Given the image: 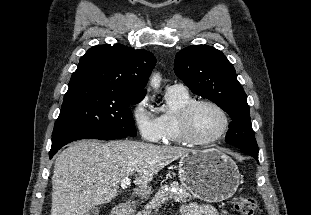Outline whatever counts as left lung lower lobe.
Returning <instances> with one entry per match:
<instances>
[{"instance_id":"left-lung-lower-lobe-1","label":"left lung lower lobe","mask_w":311,"mask_h":215,"mask_svg":"<svg viewBox=\"0 0 311 215\" xmlns=\"http://www.w3.org/2000/svg\"><path fill=\"white\" fill-rule=\"evenodd\" d=\"M243 152H246L247 154L251 155L252 157H254L257 161H258V154H255V153H251V152H247V151H244L242 150Z\"/></svg>"}]
</instances>
